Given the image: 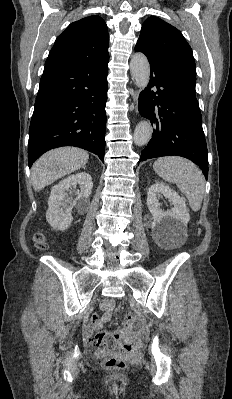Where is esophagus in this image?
<instances>
[{"label": "esophagus", "mask_w": 232, "mask_h": 399, "mask_svg": "<svg viewBox=\"0 0 232 399\" xmlns=\"http://www.w3.org/2000/svg\"><path fill=\"white\" fill-rule=\"evenodd\" d=\"M138 91H136L135 92V94H134V96H133V100L135 101V103L137 102V100H138Z\"/></svg>", "instance_id": "34e87169"}]
</instances>
